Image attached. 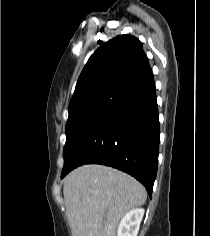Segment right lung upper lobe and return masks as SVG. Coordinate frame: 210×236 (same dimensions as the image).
Returning <instances> with one entry per match:
<instances>
[{
	"label": "right lung upper lobe",
	"mask_w": 210,
	"mask_h": 236,
	"mask_svg": "<svg viewBox=\"0 0 210 236\" xmlns=\"http://www.w3.org/2000/svg\"><path fill=\"white\" fill-rule=\"evenodd\" d=\"M152 75L142 43L130 35L117 36L89 58L79 76L69 108L107 91H128Z\"/></svg>",
	"instance_id": "obj_1"
}]
</instances>
